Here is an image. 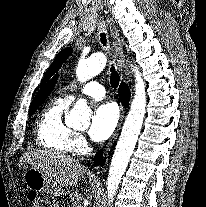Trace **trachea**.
Wrapping results in <instances>:
<instances>
[{
    "label": "trachea",
    "mask_w": 206,
    "mask_h": 207,
    "mask_svg": "<svg viewBox=\"0 0 206 207\" xmlns=\"http://www.w3.org/2000/svg\"><path fill=\"white\" fill-rule=\"evenodd\" d=\"M100 40H101V43L106 46L107 44V39H106V35L105 33H101L100 34ZM110 83H111V86L116 89L119 85V81H120V76L118 74V72L115 70V67L112 65L111 68H110Z\"/></svg>",
    "instance_id": "trachea-1"
}]
</instances>
